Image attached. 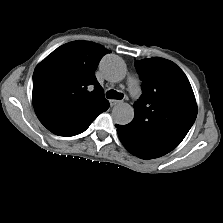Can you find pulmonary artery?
<instances>
[{"instance_id":"pulmonary-artery-1","label":"pulmonary artery","mask_w":223,"mask_h":223,"mask_svg":"<svg viewBox=\"0 0 223 223\" xmlns=\"http://www.w3.org/2000/svg\"><path fill=\"white\" fill-rule=\"evenodd\" d=\"M128 89L133 97L140 93L139 80L136 77H131L128 80Z\"/></svg>"}]
</instances>
